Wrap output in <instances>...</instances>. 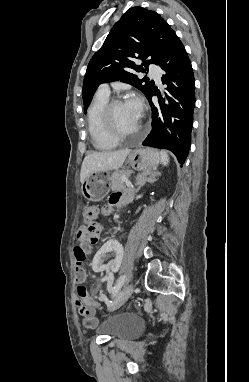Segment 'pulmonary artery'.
Segmentation results:
<instances>
[{
	"label": "pulmonary artery",
	"mask_w": 249,
	"mask_h": 382,
	"mask_svg": "<svg viewBox=\"0 0 249 382\" xmlns=\"http://www.w3.org/2000/svg\"><path fill=\"white\" fill-rule=\"evenodd\" d=\"M150 75L156 80L157 83H161V74L158 68L154 65H149ZM99 92L109 94V87L106 84H103L99 88Z\"/></svg>",
	"instance_id": "obj_1"
}]
</instances>
